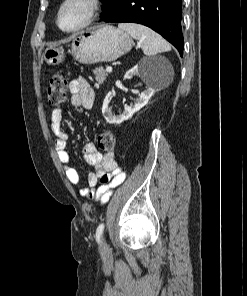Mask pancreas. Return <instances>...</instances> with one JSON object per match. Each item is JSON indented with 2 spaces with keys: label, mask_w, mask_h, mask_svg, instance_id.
<instances>
[{
  "label": "pancreas",
  "mask_w": 247,
  "mask_h": 296,
  "mask_svg": "<svg viewBox=\"0 0 247 296\" xmlns=\"http://www.w3.org/2000/svg\"><path fill=\"white\" fill-rule=\"evenodd\" d=\"M95 79L99 84H102L106 77L108 76V72L103 69V67H98L94 70Z\"/></svg>",
  "instance_id": "obj_1"
}]
</instances>
